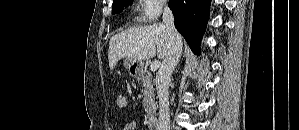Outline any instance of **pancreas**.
<instances>
[{
	"label": "pancreas",
	"instance_id": "pancreas-1",
	"mask_svg": "<svg viewBox=\"0 0 299 130\" xmlns=\"http://www.w3.org/2000/svg\"><path fill=\"white\" fill-rule=\"evenodd\" d=\"M141 81L143 83V106L147 116L150 118L156 112V101H155V94H154V87L151 81V76L149 74L142 75Z\"/></svg>",
	"mask_w": 299,
	"mask_h": 130
}]
</instances>
